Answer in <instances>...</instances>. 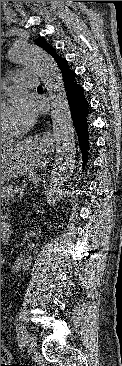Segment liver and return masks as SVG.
Wrapping results in <instances>:
<instances>
[{
	"label": "liver",
	"mask_w": 122,
	"mask_h": 366,
	"mask_svg": "<svg viewBox=\"0 0 122 366\" xmlns=\"http://www.w3.org/2000/svg\"><path fill=\"white\" fill-rule=\"evenodd\" d=\"M6 153L5 152H1V158H5Z\"/></svg>",
	"instance_id": "1"
}]
</instances>
